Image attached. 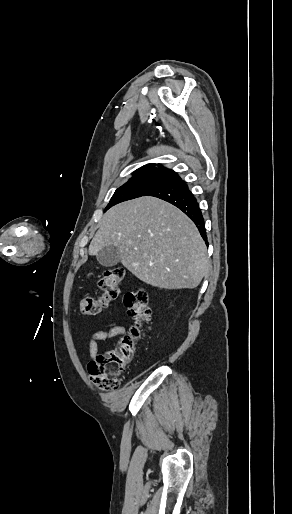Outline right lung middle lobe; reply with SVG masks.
Masks as SVG:
<instances>
[{
	"mask_svg": "<svg viewBox=\"0 0 292 514\" xmlns=\"http://www.w3.org/2000/svg\"><path fill=\"white\" fill-rule=\"evenodd\" d=\"M170 176L164 172H149L133 174V177L119 187L113 194L106 210L120 202L143 196L148 190Z\"/></svg>",
	"mask_w": 292,
	"mask_h": 514,
	"instance_id": "dd1d6c3e",
	"label": "right lung middle lobe"
}]
</instances>
